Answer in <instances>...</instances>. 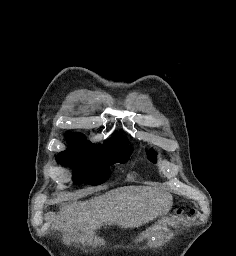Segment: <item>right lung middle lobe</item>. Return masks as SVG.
Wrapping results in <instances>:
<instances>
[{
	"instance_id": "dd1d6c3e",
	"label": "right lung middle lobe",
	"mask_w": 236,
	"mask_h": 256,
	"mask_svg": "<svg viewBox=\"0 0 236 256\" xmlns=\"http://www.w3.org/2000/svg\"><path fill=\"white\" fill-rule=\"evenodd\" d=\"M68 149L57 156V162L72 167L75 184L83 182L99 185L108 179L109 166L125 163L132 148L126 142H105L103 145L92 144L83 138L67 136Z\"/></svg>"
}]
</instances>
